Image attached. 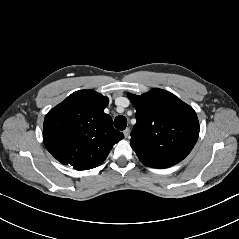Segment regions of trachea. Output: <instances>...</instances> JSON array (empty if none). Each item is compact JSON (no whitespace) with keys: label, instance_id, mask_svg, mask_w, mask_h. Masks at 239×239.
Segmentation results:
<instances>
[{"label":"trachea","instance_id":"3493384b","mask_svg":"<svg viewBox=\"0 0 239 239\" xmlns=\"http://www.w3.org/2000/svg\"><path fill=\"white\" fill-rule=\"evenodd\" d=\"M114 126L118 130H124L127 126V119L124 116H117L114 120Z\"/></svg>","mask_w":239,"mask_h":239}]
</instances>
